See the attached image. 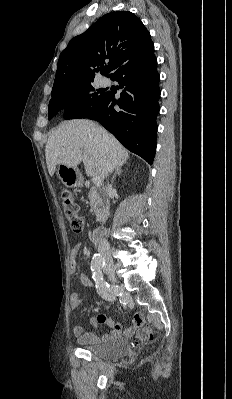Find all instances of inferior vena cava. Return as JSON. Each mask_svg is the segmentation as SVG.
I'll use <instances>...</instances> for the list:
<instances>
[{
	"mask_svg": "<svg viewBox=\"0 0 232 399\" xmlns=\"http://www.w3.org/2000/svg\"><path fill=\"white\" fill-rule=\"evenodd\" d=\"M103 138H108V134H103ZM112 170H114V166H108L107 168V172H112ZM98 251L102 252L104 255V259L107 263H111L112 259L110 256V252H111V247L108 241H101L98 247Z\"/></svg>",
	"mask_w": 232,
	"mask_h": 399,
	"instance_id": "602c4592",
	"label": "inferior vena cava"
}]
</instances>
